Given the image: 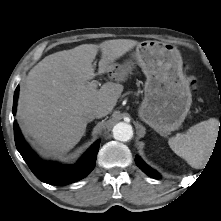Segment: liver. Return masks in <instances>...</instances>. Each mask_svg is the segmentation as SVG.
<instances>
[{"mask_svg":"<svg viewBox=\"0 0 221 221\" xmlns=\"http://www.w3.org/2000/svg\"><path fill=\"white\" fill-rule=\"evenodd\" d=\"M139 42L131 39L82 44L53 53L28 73L21 92L17 119L25 135L31 136L47 155L72 149L85 134L87 108H98V118L115 107L123 85L107 82L100 89L90 85L95 77L92 64L98 51L99 74L112 70L113 63Z\"/></svg>","mask_w":221,"mask_h":221,"instance_id":"1","label":"liver"}]
</instances>
